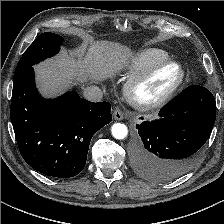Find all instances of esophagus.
Segmentation results:
<instances>
[{
  "instance_id": "34e87169",
  "label": "esophagus",
  "mask_w": 224,
  "mask_h": 224,
  "mask_svg": "<svg viewBox=\"0 0 224 224\" xmlns=\"http://www.w3.org/2000/svg\"><path fill=\"white\" fill-rule=\"evenodd\" d=\"M115 120H122L123 119V113L121 110L116 109L113 113Z\"/></svg>"
}]
</instances>
